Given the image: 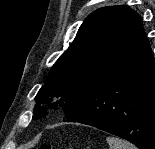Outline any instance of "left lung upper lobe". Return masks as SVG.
<instances>
[{
	"label": "left lung upper lobe",
	"instance_id": "5c2ea615",
	"mask_svg": "<svg viewBox=\"0 0 155 149\" xmlns=\"http://www.w3.org/2000/svg\"><path fill=\"white\" fill-rule=\"evenodd\" d=\"M140 15L126 6H108L92 12L80 26L70 47L52 67L35 101L33 119L61 109L65 118L82 104L89 88L111 66Z\"/></svg>",
	"mask_w": 155,
	"mask_h": 149
}]
</instances>
